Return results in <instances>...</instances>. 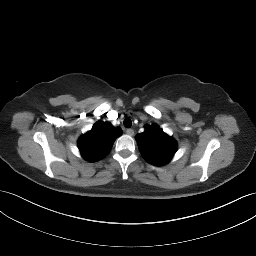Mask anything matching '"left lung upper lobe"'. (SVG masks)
Wrapping results in <instances>:
<instances>
[{
  "label": "left lung upper lobe",
  "mask_w": 256,
  "mask_h": 256,
  "mask_svg": "<svg viewBox=\"0 0 256 256\" xmlns=\"http://www.w3.org/2000/svg\"><path fill=\"white\" fill-rule=\"evenodd\" d=\"M136 141L143 157L157 166L168 163L177 149L175 140L156 124L147 126L143 133L137 134Z\"/></svg>",
  "instance_id": "5c2ea615"
}]
</instances>
